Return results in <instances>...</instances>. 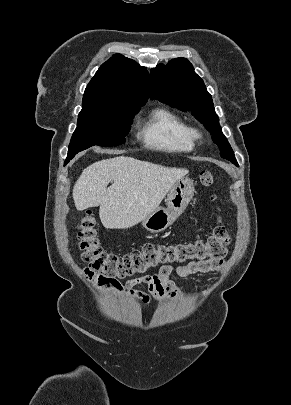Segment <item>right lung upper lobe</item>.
<instances>
[{"instance_id": "right-lung-upper-lobe-1", "label": "right lung upper lobe", "mask_w": 291, "mask_h": 405, "mask_svg": "<svg viewBox=\"0 0 291 405\" xmlns=\"http://www.w3.org/2000/svg\"><path fill=\"white\" fill-rule=\"evenodd\" d=\"M148 71L121 54L101 65L87 85L82 106L140 108L148 95Z\"/></svg>"}]
</instances>
